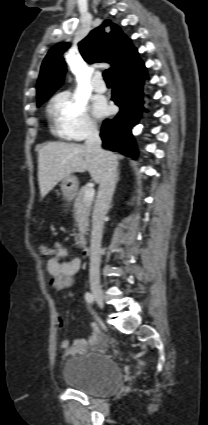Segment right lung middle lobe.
Instances as JSON below:
<instances>
[{
    "label": "right lung middle lobe",
    "mask_w": 208,
    "mask_h": 425,
    "mask_svg": "<svg viewBox=\"0 0 208 425\" xmlns=\"http://www.w3.org/2000/svg\"><path fill=\"white\" fill-rule=\"evenodd\" d=\"M50 96L44 98L41 102L38 103V106H40L42 103H44Z\"/></svg>",
    "instance_id": "obj_1"
}]
</instances>
